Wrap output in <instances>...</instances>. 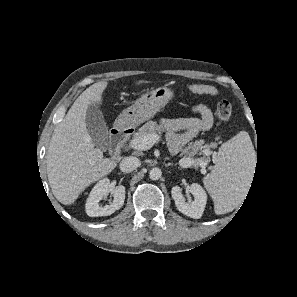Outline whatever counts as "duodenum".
Masks as SVG:
<instances>
[{"label": "duodenum", "instance_id": "duodenum-1", "mask_svg": "<svg viewBox=\"0 0 297 297\" xmlns=\"http://www.w3.org/2000/svg\"><path fill=\"white\" fill-rule=\"evenodd\" d=\"M130 127L125 123H119L110 134V150L113 154H119L129 134Z\"/></svg>", "mask_w": 297, "mask_h": 297}]
</instances>
